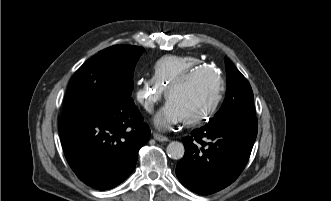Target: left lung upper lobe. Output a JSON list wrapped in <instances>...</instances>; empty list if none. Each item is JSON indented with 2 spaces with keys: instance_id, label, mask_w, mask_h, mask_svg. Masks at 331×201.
Listing matches in <instances>:
<instances>
[{
  "instance_id": "obj_1",
  "label": "left lung upper lobe",
  "mask_w": 331,
  "mask_h": 201,
  "mask_svg": "<svg viewBox=\"0 0 331 201\" xmlns=\"http://www.w3.org/2000/svg\"><path fill=\"white\" fill-rule=\"evenodd\" d=\"M225 64L226 97L220 110L209 123L227 119L255 118L254 97L249 82L228 58L225 59Z\"/></svg>"
}]
</instances>
